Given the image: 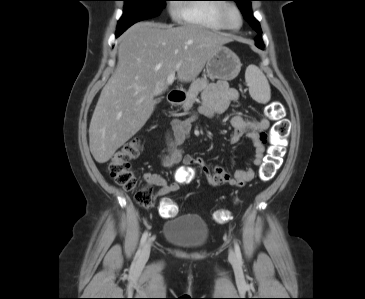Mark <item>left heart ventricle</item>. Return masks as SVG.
<instances>
[{
  "label": "left heart ventricle",
  "instance_id": "left-heart-ventricle-1",
  "mask_svg": "<svg viewBox=\"0 0 365 299\" xmlns=\"http://www.w3.org/2000/svg\"><path fill=\"white\" fill-rule=\"evenodd\" d=\"M227 23L231 26H237L239 23L238 16L235 11L231 10L227 15Z\"/></svg>",
  "mask_w": 365,
  "mask_h": 299
}]
</instances>
